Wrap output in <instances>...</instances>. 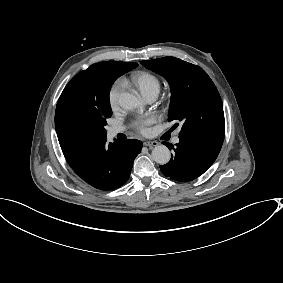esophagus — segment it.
Wrapping results in <instances>:
<instances>
[{"mask_svg":"<svg viewBox=\"0 0 283 283\" xmlns=\"http://www.w3.org/2000/svg\"><path fill=\"white\" fill-rule=\"evenodd\" d=\"M144 145L145 146H157V145H159V142H157V141H146V142H144Z\"/></svg>","mask_w":283,"mask_h":283,"instance_id":"obj_1","label":"esophagus"}]
</instances>
